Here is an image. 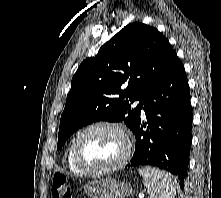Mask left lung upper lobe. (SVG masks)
I'll return each instance as SVG.
<instances>
[{
    "instance_id": "5c2ea615",
    "label": "left lung upper lobe",
    "mask_w": 221,
    "mask_h": 198,
    "mask_svg": "<svg viewBox=\"0 0 221 198\" xmlns=\"http://www.w3.org/2000/svg\"><path fill=\"white\" fill-rule=\"evenodd\" d=\"M174 53L154 27L136 22L120 30L74 74L60 119L57 150L75 131L96 121H124L133 131L146 94ZM135 100L139 105L131 109Z\"/></svg>"
}]
</instances>
